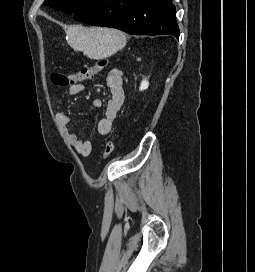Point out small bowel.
<instances>
[{
  "mask_svg": "<svg viewBox=\"0 0 255 272\" xmlns=\"http://www.w3.org/2000/svg\"><path fill=\"white\" fill-rule=\"evenodd\" d=\"M106 83L110 96L106 104L104 115L97 123V132L101 136H106L111 132L113 123L124 102L123 71L118 68L110 70L106 76ZM84 89L85 85L82 82L70 85L67 90V95L75 96ZM93 104L100 106L101 100L96 99ZM56 120L64 136L75 151L82 157L89 156L92 150L91 142L87 139L80 138L72 130L70 116L63 111H59L56 113Z\"/></svg>",
  "mask_w": 255,
  "mask_h": 272,
  "instance_id": "1",
  "label": "small bowel"
}]
</instances>
